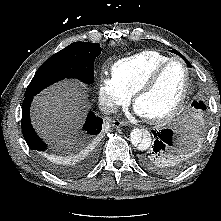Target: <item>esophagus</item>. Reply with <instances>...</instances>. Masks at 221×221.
<instances>
[{
    "mask_svg": "<svg viewBox=\"0 0 221 221\" xmlns=\"http://www.w3.org/2000/svg\"><path fill=\"white\" fill-rule=\"evenodd\" d=\"M127 123L121 120H113L112 121V126L116 128H120L122 126H125Z\"/></svg>",
    "mask_w": 221,
    "mask_h": 221,
    "instance_id": "34e87169",
    "label": "esophagus"
}]
</instances>
